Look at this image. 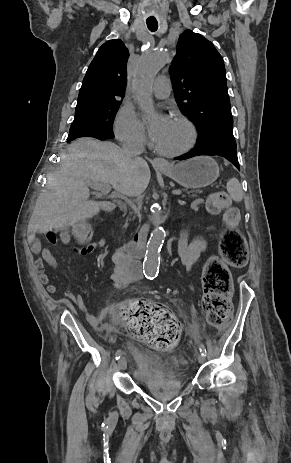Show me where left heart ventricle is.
Masks as SVG:
<instances>
[{
	"mask_svg": "<svg viewBox=\"0 0 291 463\" xmlns=\"http://www.w3.org/2000/svg\"><path fill=\"white\" fill-rule=\"evenodd\" d=\"M187 136L186 128L176 119H173L171 126L156 146L157 148L165 151L175 150L186 142Z\"/></svg>",
	"mask_w": 291,
	"mask_h": 463,
	"instance_id": "b2bd125f",
	"label": "left heart ventricle"
}]
</instances>
